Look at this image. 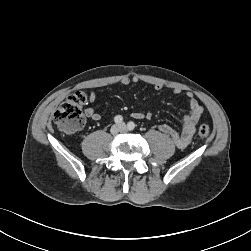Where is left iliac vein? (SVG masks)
Returning <instances> with one entry per match:
<instances>
[{
	"label": "left iliac vein",
	"mask_w": 251,
	"mask_h": 251,
	"mask_svg": "<svg viewBox=\"0 0 251 251\" xmlns=\"http://www.w3.org/2000/svg\"><path fill=\"white\" fill-rule=\"evenodd\" d=\"M121 128H122L123 131L126 130V126L124 124H121Z\"/></svg>",
	"instance_id": "left-iliac-vein-1"
}]
</instances>
